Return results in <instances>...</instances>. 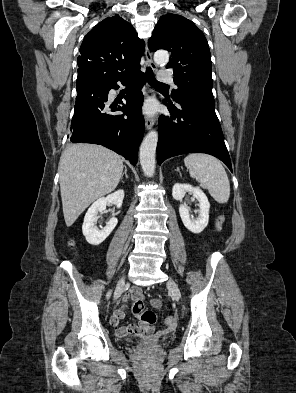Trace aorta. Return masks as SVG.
Segmentation results:
<instances>
[{
    "instance_id": "obj_1",
    "label": "aorta",
    "mask_w": 296,
    "mask_h": 393,
    "mask_svg": "<svg viewBox=\"0 0 296 393\" xmlns=\"http://www.w3.org/2000/svg\"><path fill=\"white\" fill-rule=\"evenodd\" d=\"M154 61L157 64H166L169 61L167 51L160 50L155 52ZM158 142V132L150 131L140 146L139 158L143 172L146 176L152 177L155 173V154Z\"/></svg>"
}]
</instances>
